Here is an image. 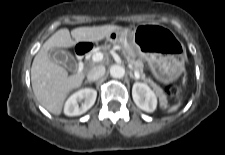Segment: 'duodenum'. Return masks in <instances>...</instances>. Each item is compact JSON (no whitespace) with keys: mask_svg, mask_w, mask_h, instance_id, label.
I'll list each match as a JSON object with an SVG mask.
<instances>
[{"mask_svg":"<svg viewBox=\"0 0 225 155\" xmlns=\"http://www.w3.org/2000/svg\"><path fill=\"white\" fill-rule=\"evenodd\" d=\"M90 47L87 44H78L75 48L77 59L79 62V70L83 67V60L86 54L89 52Z\"/></svg>","mask_w":225,"mask_h":155,"instance_id":"duodenum-1","label":"duodenum"}]
</instances>
